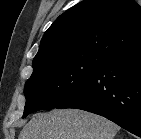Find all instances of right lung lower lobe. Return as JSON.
<instances>
[{"label":"right lung lower lobe","mask_w":141,"mask_h":139,"mask_svg":"<svg viewBox=\"0 0 141 139\" xmlns=\"http://www.w3.org/2000/svg\"><path fill=\"white\" fill-rule=\"evenodd\" d=\"M55 108L101 115L141 137V45L108 59L87 84Z\"/></svg>","instance_id":"obj_1"}]
</instances>
